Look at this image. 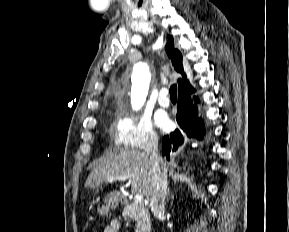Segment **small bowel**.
<instances>
[{
	"label": "small bowel",
	"instance_id": "1",
	"mask_svg": "<svg viewBox=\"0 0 289 232\" xmlns=\"http://www.w3.org/2000/svg\"><path fill=\"white\" fill-rule=\"evenodd\" d=\"M120 229V224L118 221H111L105 228L103 232H118Z\"/></svg>",
	"mask_w": 289,
	"mask_h": 232
}]
</instances>
